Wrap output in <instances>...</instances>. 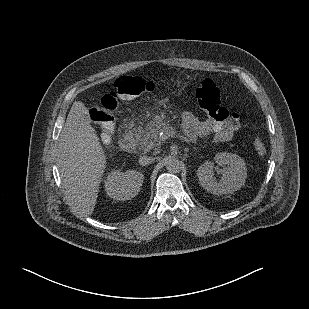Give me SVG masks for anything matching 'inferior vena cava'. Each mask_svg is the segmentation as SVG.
Wrapping results in <instances>:
<instances>
[{
  "instance_id": "obj_1",
  "label": "inferior vena cava",
  "mask_w": 309,
  "mask_h": 309,
  "mask_svg": "<svg viewBox=\"0 0 309 309\" xmlns=\"http://www.w3.org/2000/svg\"><path fill=\"white\" fill-rule=\"evenodd\" d=\"M154 160H155V159H154L153 157L143 155V156H140V157H139L138 163H139L141 166H146V165L151 164Z\"/></svg>"
}]
</instances>
